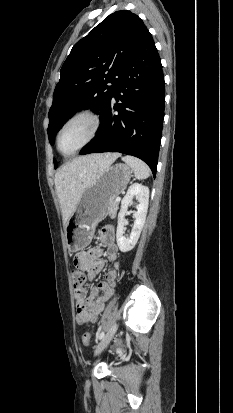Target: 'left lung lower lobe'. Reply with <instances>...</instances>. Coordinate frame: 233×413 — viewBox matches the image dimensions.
<instances>
[{
	"mask_svg": "<svg viewBox=\"0 0 233 413\" xmlns=\"http://www.w3.org/2000/svg\"><path fill=\"white\" fill-rule=\"evenodd\" d=\"M165 83L149 31L123 68L99 134L80 154L120 152L146 162L156 175L164 118Z\"/></svg>",
	"mask_w": 233,
	"mask_h": 413,
	"instance_id": "left-lung-lower-lobe-1",
	"label": "left lung lower lobe"
}]
</instances>
